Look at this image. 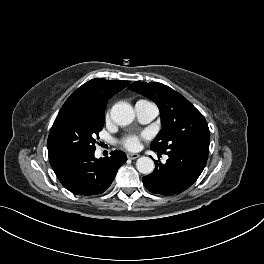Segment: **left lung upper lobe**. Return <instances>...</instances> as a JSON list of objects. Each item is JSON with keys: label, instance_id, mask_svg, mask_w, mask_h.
Returning a JSON list of instances; mask_svg holds the SVG:
<instances>
[{"label": "left lung upper lobe", "instance_id": "1", "mask_svg": "<svg viewBox=\"0 0 264 264\" xmlns=\"http://www.w3.org/2000/svg\"><path fill=\"white\" fill-rule=\"evenodd\" d=\"M128 89L151 99L159 107L163 128L152 142V150L166 153L183 145L209 152L208 124L181 94L161 83L134 82Z\"/></svg>", "mask_w": 264, "mask_h": 264}]
</instances>
